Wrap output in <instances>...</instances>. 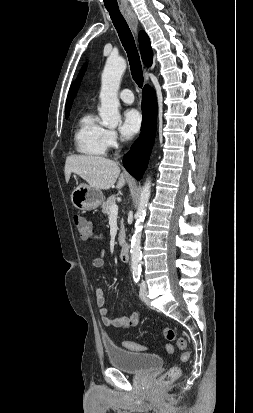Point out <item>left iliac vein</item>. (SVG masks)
<instances>
[{"label": "left iliac vein", "instance_id": "4c4485c4", "mask_svg": "<svg viewBox=\"0 0 253 413\" xmlns=\"http://www.w3.org/2000/svg\"><path fill=\"white\" fill-rule=\"evenodd\" d=\"M139 296H140V299H141L142 301L145 302V301L147 300V286H146V284H145L144 281H143V282L141 283V285H140Z\"/></svg>", "mask_w": 253, "mask_h": 413}]
</instances>
